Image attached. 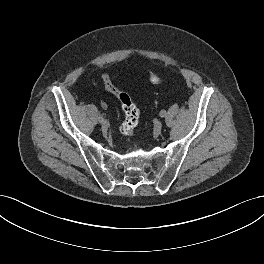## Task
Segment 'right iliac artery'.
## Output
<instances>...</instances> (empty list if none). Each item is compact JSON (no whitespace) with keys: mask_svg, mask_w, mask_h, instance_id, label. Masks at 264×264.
I'll list each match as a JSON object with an SVG mask.
<instances>
[{"mask_svg":"<svg viewBox=\"0 0 264 264\" xmlns=\"http://www.w3.org/2000/svg\"><path fill=\"white\" fill-rule=\"evenodd\" d=\"M98 119H99L100 122H102L104 120V118H103V116L101 114L99 115Z\"/></svg>","mask_w":264,"mask_h":264,"instance_id":"82829eb1","label":"right iliac artery"}]
</instances>
